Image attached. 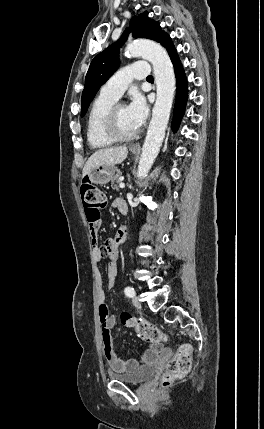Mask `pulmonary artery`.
I'll return each instance as SVG.
<instances>
[{
	"label": "pulmonary artery",
	"instance_id": "e3ab8cb5",
	"mask_svg": "<svg viewBox=\"0 0 264 429\" xmlns=\"http://www.w3.org/2000/svg\"><path fill=\"white\" fill-rule=\"evenodd\" d=\"M150 73L147 62L141 61L117 71L101 88V94L119 99L134 79H145Z\"/></svg>",
	"mask_w": 264,
	"mask_h": 429
}]
</instances>
